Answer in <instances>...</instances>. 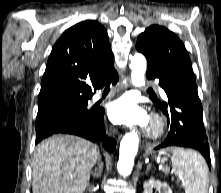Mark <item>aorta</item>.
Returning <instances> with one entry per match:
<instances>
[{
    "mask_svg": "<svg viewBox=\"0 0 221 193\" xmlns=\"http://www.w3.org/2000/svg\"><path fill=\"white\" fill-rule=\"evenodd\" d=\"M131 81L135 87H142L145 85V73L147 69V62L144 55L135 53L130 56ZM139 136L137 132L132 131L123 137L120 143L119 160L117 163V170L126 177L131 174L134 166V159L138 152Z\"/></svg>",
    "mask_w": 221,
    "mask_h": 193,
    "instance_id": "aorta-1",
    "label": "aorta"
}]
</instances>
